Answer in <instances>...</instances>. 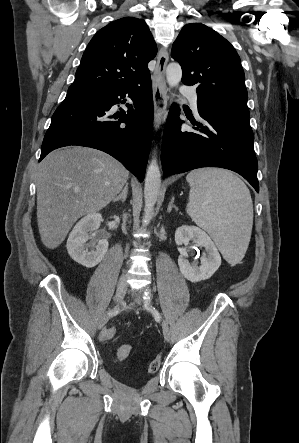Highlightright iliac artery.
Returning <instances> with one entry per match:
<instances>
[{"label":"right iliac artery","instance_id":"obj_1","mask_svg":"<svg viewBox=\"0 0 299 443\" xmlns=\"http://www.w3.org/2000/svg\"><path fill=\"white\" fill-rule=\"evenodd\" d=\"M119 311V306H116L113 310H111L108 314L110 316L116 315Z\"/></svg>","mask_w":299,"mask_h":443}]
</instances>
